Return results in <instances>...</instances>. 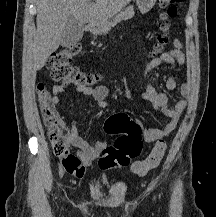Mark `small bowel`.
<instances>
[{
    "label": "small bowel",
    "instance_id": "c3829d8e",
    "mask_svg": "<svg viewBox=\"0 0 216 217\" xmlns=\"http://www.w3.org/2000/svg\"><path fill=\"white\" fill-rule=\"evenodd\" d=\"M183 65L185 63V56L182 51V45L178 39L174 41V48L162 53L158 58L152 60L145 68V75L155 68L160 66H166L170 71L175 63ZM165 87L169 91H174L177 87V82L174 75L169 72L166 80ZM65 91L64 85H55L52 89L54 106L59 105V95ZM77 91L87 97H90L100 108L106 107L105 98L109 93V90L104 86L99 87H79ZM181 95L185 97L187 95V86L183 84L180 88ZM141 96L144 100L150 102L153 107L161 111L168 117V122L162 128H145L142 126L139 120H135L142 131V138L146 142H154L162 140L168 137L177 127L182 113L186 107V101L184 98L175 102L173 107H169L170 96L165 92L157 91L149 82L144 83ZM68 138L73 147L76 148V157L80 161L82 174L77 177H82L85 170L92 165L94 160L99 157L101 152L106 147V142L91 139H84L78 132L76 122L73 121L71 129L68 134Z\"/></svg>",
    "mask_w": 216,
    "mask_h": 217
}]
</instances>
